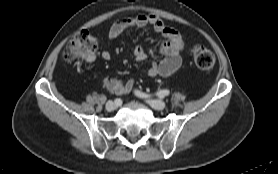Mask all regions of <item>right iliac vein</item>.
I'll return each mask as SVG.
<instances>
[{
    "instance_id": "1",
    "label": "right iliac vein",
    "mask_w": 278,
    "mask_h": 174,
    "mask_svg": "<svg viewBox=\"0 0 278 174\" xmlns=\"http://www.w3.org/2000/svg\"><path fill=\"white\" fill-rule=\"evenodd\" d=\"M116 108H117V105H116L114 102L108 101V102L106 103V110H107V111H113V110H115Z\"/></svg>"
}]
</instances>
